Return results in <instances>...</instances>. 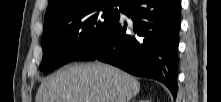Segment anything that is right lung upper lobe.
I'll return each instance as SVG.
<instances>
[{
    "label": "right lung upper lobe",
    "mask_w": 221,
    "mask_h": 102,
    "mask_svg": "<svg viewBox=\"0 0 221 102\" xmlns=\"http://www.w3.org/2000/svg\"><path fill=\"white\" fill-rule=\"evenodd\" d=\"M73 1H82V0H49V4L46 10L44 21L49 20L58 12L68 7ZM119 1H123V0H119Z\"/></svg>",
    "instance_id": "right-lung-upper-lobe-1"
}]
</instances>
